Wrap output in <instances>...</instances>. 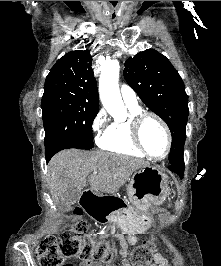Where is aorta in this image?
<instances>
[{
    "label": "aorta",
    "instance_id": "aorta-1",
    "mask_svg": "<svg viewBox=\"0 0 221 266\" xmlns=\"http://www.w3.org/2000/svg\"><path fill=\"white\" fill-rule=\"evenodd\" d=\"M119 70L118 60L107 61L101 67L99 81V93L102 104L115 120H122L126 116V109L118 85Z\"/></svg>",
    "mask_w": 221,
    "mask_h": 266
}]
</instances>
